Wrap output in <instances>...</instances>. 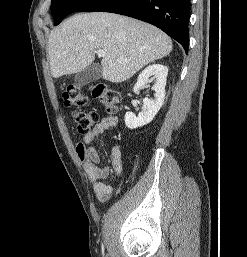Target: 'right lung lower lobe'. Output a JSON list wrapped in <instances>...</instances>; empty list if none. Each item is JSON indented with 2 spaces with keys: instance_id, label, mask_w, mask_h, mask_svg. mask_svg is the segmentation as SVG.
<instances>
[{
  "instance_id": "obj_1",
  "label": "right lung lower lobe",
  "mask_w": 247,
  "mask_h": 257,
  "mask_svg": "<svg viewBox=\"0 0 247 257\" xmlns=\"http://www.w3.org/2000/svg\"><path fill=\"white\" fill-rule=\"evenodd\" d=\"M79 12H111L148 22L188 52L190 0H92Z\"/></svg>"
}]
</instances>
